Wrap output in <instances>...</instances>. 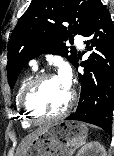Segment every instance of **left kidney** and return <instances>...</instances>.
I'll use <instances>...</instances> for the list:
<instances>
[{
  "mask_svg": "<svg viewBox=\"0 0 114 156\" xmlns=\"http://www.w3.org/2000/svg\"><path fill=\"white\" fill-rule=\"evenodd\" d=\"M106 150L103 145L97 141H93L84 145L76 154V156H106Z\"/></svg>",
  "mask_w": 114,
  "mask_h": 156,
  "instance_id": "1",
  "label": "left kidney"
}]
</instances>
